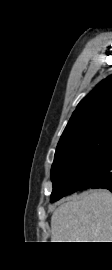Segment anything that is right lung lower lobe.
Here are the masks:
<instances>
[{
	"label": "right lung lower lobe",
	"mask_w": 112,
	"mask_h": 270,
	"mask_svg": "<svg viewBox=\"0 0 112 270\" xmlns=\"http://www.w3.org/2000/svg\"><path fill=\"white\" fill-rule=\"evenodd\" d=\"M105 188L112 192V143L84 172L80 189Z\"/></svg>",
	"instance_id": "obj_1"
}]
</instances>
